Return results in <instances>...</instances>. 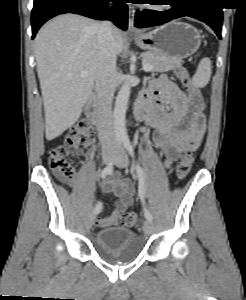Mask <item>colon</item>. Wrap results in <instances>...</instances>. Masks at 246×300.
<instances>
[{
	"label": "colon",
	"instance_id": "colon-1",
	"mask_svg": "<svg viewBox=\"0 0 246 300\" xmlns=\"http://www.w3.org/2000/svg\"><path fill=\"white\" fill-rule=\"evenodd\" d=\"M176 77L181 81L186 92L197 107L203 106V100L200 92L192 85L188 70L179 66L175 69ZM91 135V127L88 122L82 121L77 124L69 133L66 141L53 148L48 154L49 168L65 179H72L75 176V170L69 160V154L72 151L82 149L88 142ZM194 155L191 150L183 152L179 163L176 166V177L182 180L189 174ZM122 223L125 226H134L139 223V217L135 213H125L122 216Z\"/></svg>",
	"mask_w": 246,
	"mask_h": 300
}]
</instances>
